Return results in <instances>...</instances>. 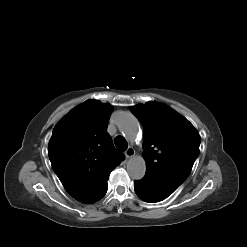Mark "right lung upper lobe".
Segmentation results:
<instances>
[{
    "mask_svg": "<svg viewBox=\"0 0 247 247\" xmlns=\"http://www.w3.org/2000/svg\"><path fill=\"white\" fill-rule=\"evenodd\" d=\"M112 106L88 100L75 107L55 126L48 155L61 183L76 200L85 202L124 159L107 125Z\"/></svg>",
    "mask_w": 247,
    "mask_h": 247,
    "instance_id": "right-lung-upper-lobe-1",
    "label": "right lung upper lobe"
}]
</instances>
